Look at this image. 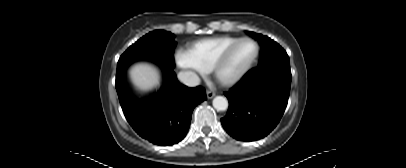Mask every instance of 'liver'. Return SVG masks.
Listing matches in <instances>:
<instances>
[{
	"label": "liver",
	"mask_w": 406,
	"mask_h": 168,
	"mask_svg": "<svg viewBox=\"0 0 406 168\" xmlns=\"http://www.w3.org/2000/svg\"><path fill=\"white\" fill-rule=\"evenodd\" d=\"M131 75L135 84L143 89L151 88L158 81L155 70L146 65L136 66Z\"/></svg>",
	"instance_id": "liver-1"
}]
</instances>
